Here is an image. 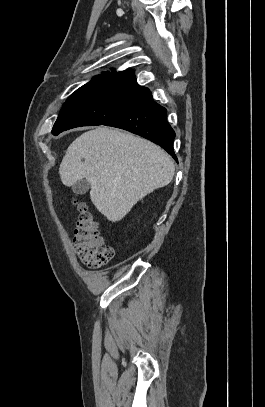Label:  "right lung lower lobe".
<instances>
[{
    "label": "right lung lower lobe",
    "mask_w": 265,
    "mask_h": 407,
    "mask_svg": "<svg viewBox=\"0 0 265 407\" xmlns=\"http://www.w3.org/2000/svg\"><path fill=\"white\" fill-rule=\"evenodd\" d=\"M166 112L151 96L142 104L103 125L121 128L149 139L164 148L177 161L173 150L175 132L166 119Z\"/></svg>",
    "instance_id": "98d812e1"
}]
</instances>
